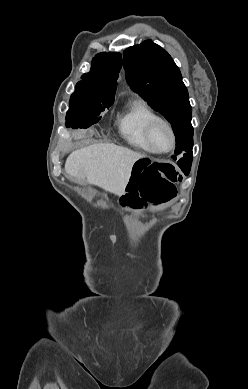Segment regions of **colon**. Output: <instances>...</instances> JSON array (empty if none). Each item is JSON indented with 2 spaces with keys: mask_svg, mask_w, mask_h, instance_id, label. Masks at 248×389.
<instances>
[{
  "mask_svg": "<svg viewBox=\"0 0 248 389\" xmlns=\"http://www.w3.org/2000/svg\"><path fill=\"white\" fill-rule=\"evenodd\" d=\"M180 181L181 175L171 161L152 162L151 157H138L119 204L144 210L149 204L168 202L175 197Z\"/></svg>",
  "mask_w": 248,
  "mask_h": 389,
  "instance_id": "colon-1",
  "label": "colon"
}]
</instances>
